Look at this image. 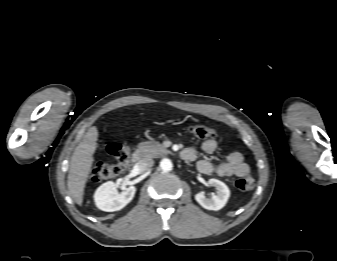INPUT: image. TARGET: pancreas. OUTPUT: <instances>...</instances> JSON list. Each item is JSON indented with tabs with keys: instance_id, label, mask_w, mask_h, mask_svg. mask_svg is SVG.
Segmentation results:
<instances>
[{
	"instance_id": "1",
	"label": "pancreas",
	"mask_w": 337,
	"mask_h": 261,
	"mask_svg": "<svg viewBox=\"0 0 337 261\" xmlns=\"http://www.w3.org/2000/svg\"><path fill=\"white\" fill-rule=\"evenodd\" d=\"M138 149L141 152L142 156L147 158L160 157L170 152L157 141L141 142L138 145Z\"/></svg>"
}]
</instances>
